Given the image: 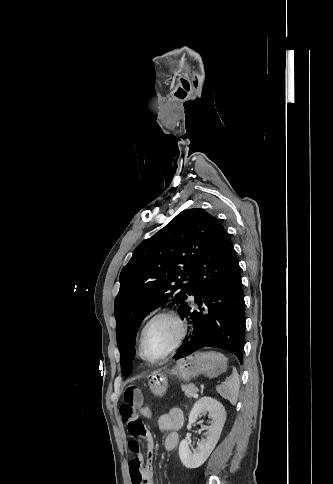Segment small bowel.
Instances as JSON below:
<instances>
[{
	"label": "small bowel",
	"instance_id": "1",
	"mask_svg": "<svg viewBox=\"0 0 333 484\" xmlns=\"http://www.w3.org/2000/svg\"><path fill=\"white\" fill-rule=\"evenodd\" d=\"M143 405V395L137 386H128L123 393V404L119 414L123 422L127 424L131 439L128 448L134 457L129 462V471L132 484H155L153 479V459L156 444L152 433L140 419V409ZM184 415L181 409L173 408L158 419V427L167 432L164 447L167 451L174 450L179 443L178 430L183 426ZM143 438L147 442L146 461L140 450L138 439Z\"/></svg>",
	"mask_w": 333,
	"mask_h": 484
}]
</instances>
